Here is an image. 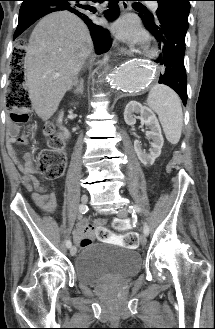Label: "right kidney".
<instances>
[{"instance_id": "right-kidney-1", "label": "right kidney", "mask_w": 215, "mask_h": 329, "mask_svg": "<svg viewBox=\"0 0 215 329\" xmlns=\"http://www.w3.org/2000/svg\"><path fill=\"white\" fill-rule=\"evenodd\" d=\"M62 119H63V113H61L59 115L57 122L60 124V129L63 131V134H64L65 138L67 139V138H69L70 133L68 132V130L66 128H64V127L61 126Z\"/></svg>"}]
</instances>
